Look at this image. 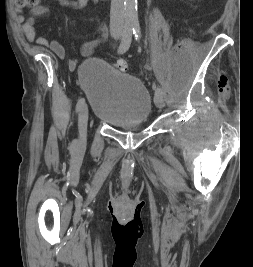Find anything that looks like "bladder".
<instances>
[{
	"mask_svg": "<svg viewBox=\"0 0 253 267\" xmlns=\"http://www.w3.org/2000/svg\"><path fill=\"white\" fill-rule=\"evenodd\" d=\"M84 91L94 116L107 124L123 126L148 120L151 95L144 83L99 59H89L83 67Z\"/></svg>",
	"mask_w": 253,
	"mask_h": 267,
	"instance_id": "obj_1",
	"label": "bladder"
}]
</instances>
